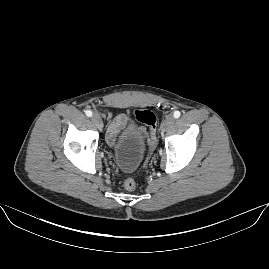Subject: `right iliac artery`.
Listing matches in <instances>:
<instances>
[{
    "mask_svg": "<svg viewBox=\"0 0 269 269\" xmlns=\"http://www.w3.org/2000/svg\"><path fill=\"white\" fill-rule=\"evenodd\" d=\"M86 115L88 116V117H91L92 116V112L91 111H86Z\"/></svg>",
    "mask_w": 269,
    "mask_h": 269,
    "instance_id": "82829eb1",
    "label": "right iliac artery"
}]
</instances>
